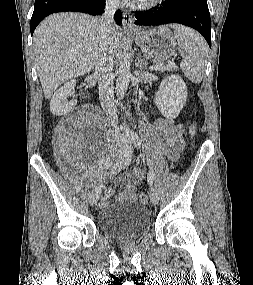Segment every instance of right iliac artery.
<instances>
[{
	"label": "right iliac artery",
	"mask_w": 253,
	"mask_h": 285,
	"mask_svg": "<svg viewBox=\"0 0 253 285\" xmlns=\"http://www.w3.org/2000/svg\"><path fill=\"white\" fill-rule=\"evenodd\" d=\"M130 163H131V154L127 155L126 158L123 159V161L121 162L120 167L123 166L125 168V167L129 166Z\"/></svg>",
	"instance_id": "82829eb1"
}]
</instances>
